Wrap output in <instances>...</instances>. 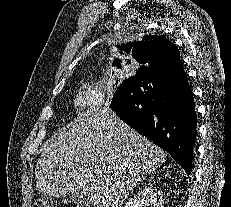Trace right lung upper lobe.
Here are the masks:
<instances>
[{
    "instance_id": "1",
    "label": "right lung upper lobe",
    "mask_w": 231,
    "mask_h": 207,
    "mask_svg": "<svg viewBox=\"0 0 231 207\" xmlns=\"http://www.w3.org/2000/svg\"><path fill=\"white\" fill-rule=\"evenodd\" d=\"M144 39V41L128 42L116 46L121 54V58L115 59L118 61V65L130 56L143 66L160 65L165 69H174L181 65L180 52L177 46L168 41L167 38L149 35L145 36Z\"/></svg>"
}]
</instances>
